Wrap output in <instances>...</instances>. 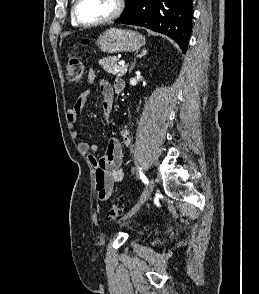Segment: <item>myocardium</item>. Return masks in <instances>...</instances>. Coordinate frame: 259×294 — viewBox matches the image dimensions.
Returning a JSON list of instances; mask_svg holds the SVG:
<instances>
[{
    "label": "myocardium",
    "mask_w": 259,
    "mask_h": 294,
    "mask_svg": "<svg viewBox=\"0 0 259 294\" xmlns=\"http://www.w3.org/2000/svg\"><path fill=\"white\" fill-rule=\"evenodd\" d=\"M81 0H75L72 10H71V17L73 22L81 27H85V28H91V27H96V26H100L106 23H109L115 19H117L118 17L121 16V14L123 13L124 9H125V0H115V9L114 11L109 14L108 16L95 21V22H83L81 21V19L78 16V5L80 3Z\"/></svg>",
    "instance_id": "obj_1"
}]
</instances>
